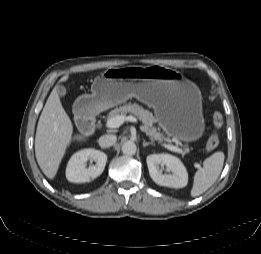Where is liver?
Instances as JSON below:
<instances>
[{
    "label": "liver",
    "instance_id": "6515ba94",
    "mask_svg": "<svg viewBox=\"0 0 261 254\" xmlns=\"http://www.w3.org/2000/svg\"><path fill=\"white\" fill-rule=\"evenodd\" d=\"M64 75L59 82L68 80ZM56 85L50 93L41 112L36 136L35 155L39 167L45 176L53 179L58 171L61 160L72 140L84 141L82 135H73L72 122L62 107Z\"/></svg>",
    "mask_w": 261,
    "mask_h": 254
}]
</instances>
